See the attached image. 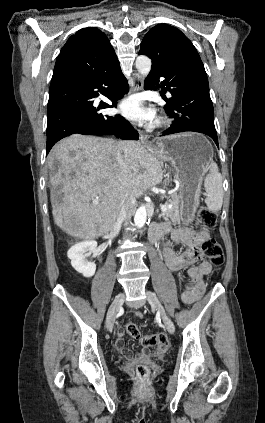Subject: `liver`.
Listing matches in <instances>:
<instances>
[{"instance_id":"obj_1","label":"liver","mask_w":265,"mask_h":423,"mask_svg":"<svg viewBox=\"0 0 265 423\" xmlns=\"http://www.w3.org/2000/svg\"><path fill=\"white\" fill-rule=\"evenodd\" d=\"M121 166L116 142L73 134L50 151L51 204L55 224L66 234L94 239L107 234L115 224L121 196L128 187L134 197L156 186L163 178L156 157L139 142L126 141ZM61 186V196L55 189ZM98 199L99 204L91 203Z\"/></svg>"}]
</instances>
